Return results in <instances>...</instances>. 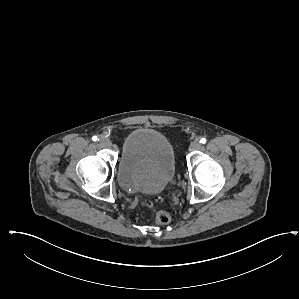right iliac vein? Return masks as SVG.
Masks as SVG:
<instances>
[{
  "label": "right iliac vein",
  "instance_id": "obj_1",
  "mask_svg": "<svg viewBox=\"0 0 299 299\" xmlns=\"http://www.w3.org/2000/svg\"><path fill=\"white\" fill-rule=\"evenodd\" d=\"M99 143L102 146H105V147H110L111 146V141L107 137H100Z\"/></svg>",
  "mask_w": 299,
  "mask_h": 299
}]
</instances>
